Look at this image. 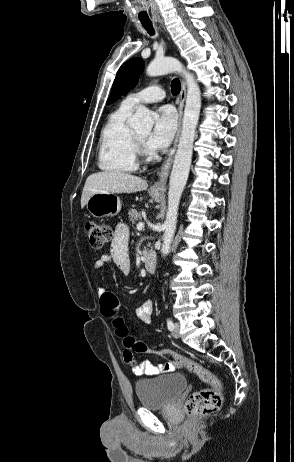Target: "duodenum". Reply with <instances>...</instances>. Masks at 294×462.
Returning a JSON list of instances; mask_svg holds the SVG:
<instances>
[{
    "label": "duodenum",
    "mask_w": 294,
    "mask_h": 462,
    "mask_svg": "<svg viewBox=\"0 0 294 462\" xmlns=\"http://www.w3.org/2000/svg\"><path fill=\"white\" fill-rule=\"evenodd\" d=\"M144 266L147 272H153L156 268V254L153 250H147L144 255Z\"/></svg>",
    "instance_id": "duodenum-1"
}]
</instances>
